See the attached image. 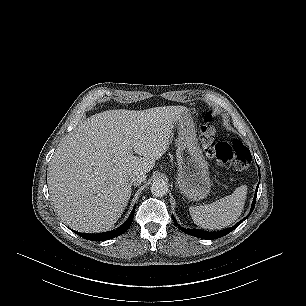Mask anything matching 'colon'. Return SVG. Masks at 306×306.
<instances>
[{
    "mask_svg": "<svg viewBox=\"0 0 306 306\" xmlns=\"http://www.w3.org/2000/svg\"><path fill=\"white\" fill-rule=\"evenodd\" d=\"M216 132L215 116L209 111L204 116V125L200 134L206 155L215 159L221 166L234 164L237 168L247 167L251 162L248 147L239 139H234L231 143L217 142Z\"/></svg>",
    "mask_w": 306,
    "mask_h": 306,
    "instance_id": "obj_1",
    "label": "colon"
}]
</instances>
